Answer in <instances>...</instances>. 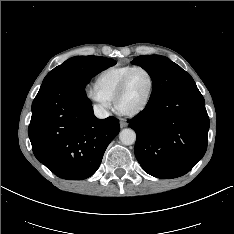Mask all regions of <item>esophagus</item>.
<instances>
[{
    "label": "esophagus",
    "mask_w": 234,
    "mask_h": 234,
    "mask_svg": "<svg viewBox=\"0 0 234 234\" xmlns=\"http://www.w3.org/2000/svg\"><path fill=\"white\" fill-rule=\"evenodd\" d=\"M127 126H128V123L125 120L120 121V127L121 128H124V127H127Z\"/></svg>",
    "instance_id": "esophagus-1"
}]
</instances>
